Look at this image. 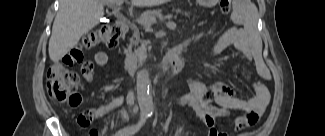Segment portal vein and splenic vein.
<instances>
[{
  "label": "portal vein and splenic vein",
  "mask_w": 325,
  "mask_h": 136,
  "mask_svg": "<svg viewBox=\"0 0 325 136\" xmlns=\"http://www.w3.org/2000/svg\"><path fill=\"white\" fill-rule=\"evenodd\" d=\"M116 2L120 6L121 3L123 2V0H116ZM117 10H119V8ZM154 21H155V18L151 17V16L150 17H144V18L140 19V22L145 24V25H149L150 23H152ZM169 25H170V28H172V29L176 28V23H174V22H170Z\"/></svg>",
  "instance_id": "obj_1"
}]
</instances>
